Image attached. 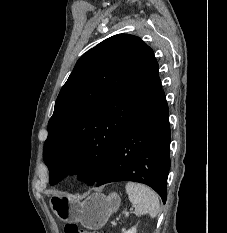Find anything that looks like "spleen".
Wrapping results in <instances>:
<instances>
[{
	"label": "spleen",
	"instance_id": "3e777b00",
	"mask_svg": "<svg viewBox=\"0 0 227 233\" xmlns=\"http://www.w3.org/2000/svg\"><path fill=\"white\" fill-rule=\"evenodd\" d=\"M130 202L134 205L137 216L148 214L155 218L160 210V202L156 193L149 187L128 182L125 186Z\"/></svg>",
	"mask_w": 227,
	"mask_h": 233
}]
</instances>
